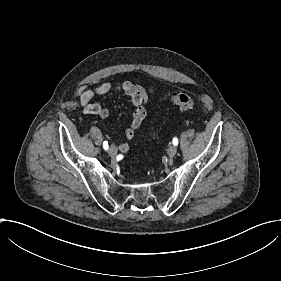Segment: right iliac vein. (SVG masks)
I'll return each instance as SVG.
<instances>
[{"label":"right iliac vein","mask_w":281,"mask_h":281,"mask_svg":"<svg viewBox=\"0 0 281 281\" xmlns=\"http://www.w3.org/2000/svg\"><path fill=\"white\" fill-rule=\"evenodd\" d=\"M108 153L110 155H115L117 153V148L115 146H110V150Z\"/></svg>","instance_id":"obj_1"}]
</instances>
